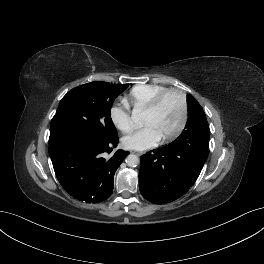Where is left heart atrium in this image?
<instances>
[{"mask_svg":"<svg viewBox=\"0 0 264 264\" xmlns=\"http://www.w3.org/2000/svg\"><path fill=\"white\" fill-rule=\"evenodd\" d=\"M161 135L153 125L147 124L122 139V144L127 149L145 150L154 147L161 140Z\"/></svg>","mask_w":264,"mask_h":264,"instance_id":"39dd6f15","label":"left heart atrium"}]
</instances>
